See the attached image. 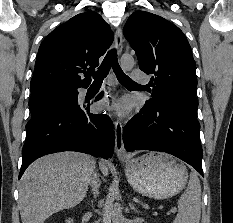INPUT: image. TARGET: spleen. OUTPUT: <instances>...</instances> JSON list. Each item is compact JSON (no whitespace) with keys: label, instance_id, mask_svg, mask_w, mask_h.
<instances>
[{"label":"spleen","instance_id":"spleen-1","mask_svg":"<svg viewBox=\"0 0 233 223\" xmlns=\"http://www.w3.org/2000/svg\"><path fill=\"white\" fill-rule=\"evenodd\" d=\"M201 185L195 171L190 173L186 191L178 199V213L173 223H200Z\"/></svg>","mask_w":233,"mask_h":223}]
</instances>
